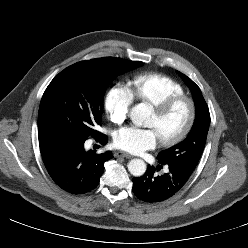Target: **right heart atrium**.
Here are the masks:
<instances>
[{
    "instance_id": "right-heart-atrium-1",
    "label": "right heart atrium",
    "mask_w": 248,
    "mask_h": 248,
    "mask_svg": "<svg viewBox=\"0 0 248 248\" xmlns=\"http://www.w3.org/2000/svg\"><path fill=\"white\" fill-rule=\"evenodd\" d=\"M132 103L133 98L128 89L120 84L109 88L104 97L105 110L115 124L124 122Z\"/></svg>"
}]
</instances>
